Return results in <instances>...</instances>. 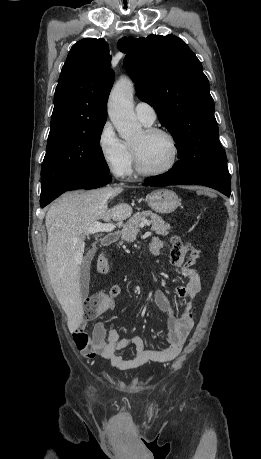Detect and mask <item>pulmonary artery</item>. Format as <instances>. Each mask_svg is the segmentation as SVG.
<instances>
[{"label":"pulmonary artery","instance_id":"e3ab8cb5","mask_svg":"<svg viewBox=\"0 0 261 459\" xmlns=\"http://www.w3.org/2000/svg\"><path fill=\"white\" fill-rule=\"evenodd\" d=\"M135 113L139 121L144 125H151L156 120L154 108L146 102H138L135 106Z\"/></svg>","mask_w":261,"mask_h":459}]
</instances>
